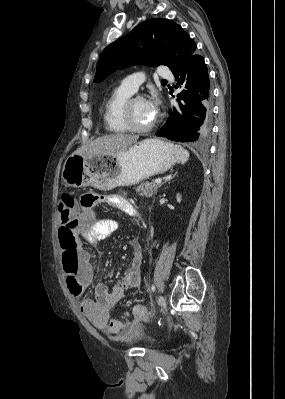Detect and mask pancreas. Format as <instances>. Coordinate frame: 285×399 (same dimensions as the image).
Masks as SVG:
<instances>
[{"mask_svg":"<svg viewBox=\"0 0 285 399\" xmlns=\"http://www.w3.org/2000/svg\"><path fill=\"white\" fill-rule=\"evenodd\" d=\"M158 185L153 183V182H144L140 185H138L137 188H135V191L140 193V195H144L146 197H152L153 194L157 191Z\"/></svg>","mask_w":285,"mask_h":399,"instance_id":"1","label":"pancreas"}]
</instances>
